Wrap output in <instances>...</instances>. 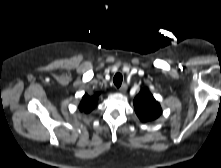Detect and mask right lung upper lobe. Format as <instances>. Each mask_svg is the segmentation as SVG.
Instances as JSON below:
<instances>
[{
    "label": "right lung upper lobe",
    "mask_w": 221,
    "mask_h": 168,
    "mask_svg": "<svg viewBox=\"0 0 221 168\" xmlns=\"http://www.w3.org/2000/svg\"><path fill=\"white\" fill-rule=\"evenodd\" d=\"M99 93H95L93 96L85 94L80 102L79 109L85 113L92 111L98 100Z\"/></svg>",
    "instance_id": "right-lung-upper-lobe-1"
}]
</instances>
